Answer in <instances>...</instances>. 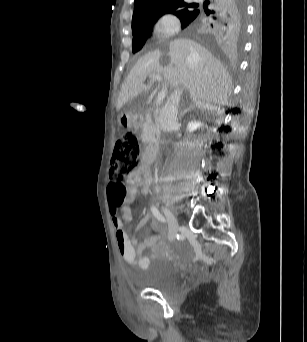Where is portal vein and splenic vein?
I'll return each mask as SVG.
<instances>
[{"mask_svg":"<svg viewBox=\"0 0 307 342\" xmlns=\"http://www.w3.org/2000/svg\"><path fill=\"white\" fill-rule=\"evenodd\" d=\"M150 78H152V80H159V82L164 81V78L159 76V74H151ZM167 91H168L167 86H160L159 92L156 95V99L154 100V103L156 105H159L161 103V101L165 100V97L167 95Z\"/></svg>","mask_w":307,"mask_h":342,"instance_id":"1","label":"portal vein and splenic vein"}]
</instances>
